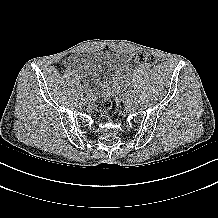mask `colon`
Returning <instances> with one entry per match:
<instances>
[{"label": "colon", "instance_id": "5ec220e1", "mask_svg": "<svg viewBox=\"0 0 218 218\" xmlns=\"http://www.w3.org/2000/svg\"><path fill=\"white\" fill-rule=\"evenodd\" d=\"M131 60L139 65L152 66L156 63V58L148 52H137L132 55ZM96 110L102 118H108L112 107L109 97H104L96 102Z\"/></svg>", "mask_w": 218, "mask_h": 218}]
</instances>
